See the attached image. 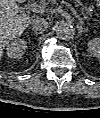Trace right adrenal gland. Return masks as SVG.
Wrapping results in <instances>:
<instances>
[{
	"label": "right adrenal gland",
	"instance_id": "1",
	"mask_svg": "<svg viewBox=\"0 0 100 118\" xmlns=\"http://www.w3.org/2000/svg\"><path fill=\"white\" fill-rule=\"evenodd\" d=\"M32 32H33L34 34H36V35L41 34V32H37V31H36V30H34V29H32Z\"/></svg>",
	"mask_w": 100,
	"mask_h": 118
}]
</instances>
